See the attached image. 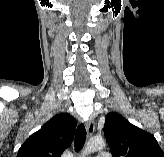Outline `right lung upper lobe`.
I'll return each instance as SVG.
<instances>
[{"label":"right lung upper lobe","mask_w":164,"mask_h":157,"mask_svg":"<svg viewBox=\"0 0 164 157\" xmlns=\"http://www.w3.org/2000/svg\"><path fill=\"white\" fill-rule=\"evenodd\" d=\"M76 125L68 113L55 115L22 144L16 157H61L73 141Z\"/></svg>","instance_id":"right-lung-upper-lobe-1"}]
</instances>
